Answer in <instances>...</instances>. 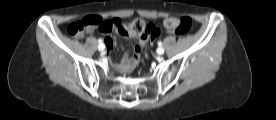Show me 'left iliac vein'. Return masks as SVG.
Here are the masks:
<instances>
[{"instance_id": "1", "label": "left iliac vein", "mask_w": 276, "mask_h": 120, "mask_svg": "<svg viewBox=\"0 0 276 120\" xmlns=\"http://www.w3.org/2000/svg\"><path fill=\"white\" fill-rule=\"evenodd\" d=\"M157 53H158L159 55H162V54L164 53V49H163L162 47H159V48L157 49Z\"/></svg>"}]
</instances>
